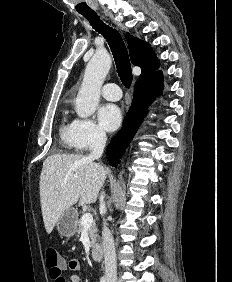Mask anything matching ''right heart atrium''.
<instances>
[{"label":"right heart atrium","instance_id":"obj_1","mask_svg":"<svg viewBox=\"0 0 232 282\" xmlns=\"http://www.w3.org/2000/svg\"><path fill=\"white\" fill-rule=\"evenodd\" d=\"M73 139L79 150H90L102 145L106 139L104 131L90 119L73 121Z\"/></svg>","mask_w":232,"mask_h":282}]
</instances>
